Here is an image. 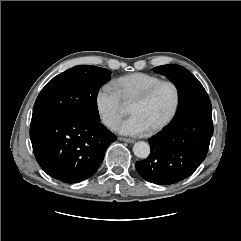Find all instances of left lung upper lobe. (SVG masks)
Returning <instances> with one entry per match:
<instances>
[{
  "instance_id": "1",
  "label": "left lung upper lobe",
  "mask_w": 241,
  "mask_h": 241,
  "mask_svg": "<svg viewBox=\"0 0 241 241\" xmlns=\"http://www.w3.org/2000/svg\"><path fill=\"white\" fill-rule=\"evenodd\" d=\"M153 70L167 76L178 89L179 105L177 113L169 126L199 112L212 110L209 96L204 87L186 68L176 64H169L155 67Z\"/></svg>"
}]
</instances>
